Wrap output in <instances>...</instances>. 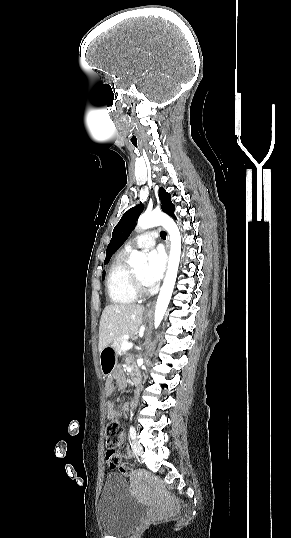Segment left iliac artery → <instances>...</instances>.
Returning a JSON list of instances; mask_svg holds the SVG:
<instances>
[{
  "instance_id": "obj_1",
  "label": "left iliac artery",
  "mask_w": 291,
  "mask_h": 538,
  "mask_svg": "<svg viewBox=\"0 0 291 538\" xmlns=\"http://www.w3.org/2000/svg\"><path fill=\"white\" fill-rule=\"evenodd\" d=\"M129 432H130L131 439L134 440L136 438V430H135V428L133 426H130Z\"/></svg>"
}]
</instances>
